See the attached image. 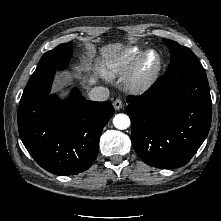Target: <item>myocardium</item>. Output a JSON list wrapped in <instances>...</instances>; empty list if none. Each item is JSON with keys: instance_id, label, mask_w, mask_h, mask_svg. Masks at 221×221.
Listing matches in <instances>:
<instances>
[{"instance_id": "obj_1", "label": "myocardium", "mask_w": 221, "mask_h": 221, "mask_svg": "<svg viewBox=\"0 0 221 221\" xmlns=\"http://www.w3.org/2000/svg\"><path fill=\"white\" fill-rule=\"evenodd\" d=\"M150 55H154V64L147 68L146 61ZM162 68V57L158 50L149 48L144 50L134 62L125 84L133 92L148 90L157 80Z\"/></svg>"}]
</instances>
